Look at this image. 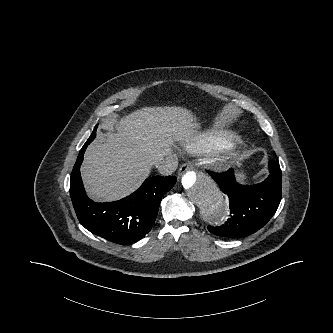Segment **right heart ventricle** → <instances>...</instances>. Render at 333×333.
Segmentation results:
<instances>
[{"instance_id": "e07e8e85", "label": "right heart ventricle", "mask_w": 333, "mask_h": 333, "mask_svg": "<svg viewBox=\"0 0 333 333\" xmlns=\"http://www.w3.org/2000/svg\"><path fill=\"white\" fill-rule=\"evenodd\" d=\"M225 145H229V137L218 136L214 133H203L189 140L185 147L189 152L202 154Z\"/></svg>"}]
</instances>
